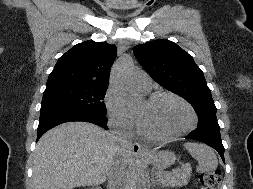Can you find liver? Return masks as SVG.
<instances>
[{
  "instance_id": "liver-1",
  "label": "liver",
  "mask_w": 253,
  "mask_h": 189,
  "mask_svg": "<svg viewBox=\"0 0 253 189\" xmlns=\"http://www.w3.org/2000/svg\"><path fill=\"white\" fill-rule=\"evenodd\" d=\"M126 165L131 152L121 153L113 136L87 122H68L46 132L33 156V189L97 186L117 161Z\"/></svg>"
}]
</instances>
